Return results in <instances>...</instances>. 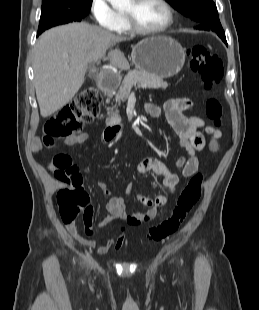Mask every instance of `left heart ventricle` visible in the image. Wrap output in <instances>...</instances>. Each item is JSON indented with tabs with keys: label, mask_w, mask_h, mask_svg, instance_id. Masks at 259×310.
<instances>
[{
	"label": "left heart ventricle",
	"mask_w": 259,
	"mask_h": 310,
	"mask_svg": "<svg viewBox=\"0 0 259 310\" xmlns=\"http://www.w3.org/2000/svg\"><path fill=\"white\" fill-rule=\"evenodd\" d=\"M124 12L131 13L136 22L145 28H158L167 20V12L158 0H130Z\"/></svg>",
	"instance_id": "1"
}]
</instances>
